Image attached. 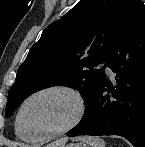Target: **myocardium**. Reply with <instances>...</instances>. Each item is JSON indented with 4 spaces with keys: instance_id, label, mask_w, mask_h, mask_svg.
<instances>
[{
    "instance_id": "1",
    "label": "myocardium",
    "mask_w": 145,
    "mask_h": 147,
    "mask_svg": "<svg viewBox=\"0 0 145 147\" xmlns=\"http://www.w3.org/2000/svg\"><path fill=\"white\" fill-rule=\"evenodd\" d=\"M52 92H61L71 96L74 99L77 106L76 113L73 119L67 125L63 126L60 129L46 132V133L36 134V135L26 134L28 138L32 141L44 140V139L54 138V137L63 135L71 131L72 129H74L82 121L85 115L86 103L82 94L77 89L68 85H51V86H47V87L34 91L22 101L21 105L18 108L16 119H15V126L18 130L21 131V117L27 104L31 100H33L34 98L40 95H43L46 93H52Z\"/></svg>"
}]
</instances>
